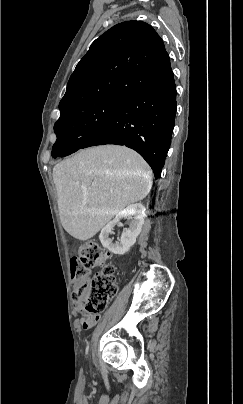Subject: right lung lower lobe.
I'll use <instances>...</instances> for the list:
<instances>
[{
    "label": "right lung lower lobe",
    "mask_w": 243,
    "mask_h": 404,
    "mask_svg": "<svg viewBox=\"0 0 243 404\" xmlns=\"http://www.w3.org/2000/svg\"><path fill=\"white\" fill-rule=\"evenodd\" d=\"M176 106L172 72L159 84L127 98L82 148L102 144L125 145L147 161L158 179L171 144Z\"/></svg>",
    "instance_id": "obj_1"
}]
</instances>
